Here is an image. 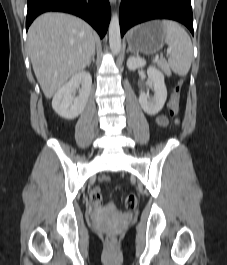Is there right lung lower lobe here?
<instances>
[{
    "mask_svg": "<svg viewBox=\"0 0 227 265\" xmlns=\"http://www.w3.org/2000/svg\"><path fill=\"white\" fill-rule=\"evenodd\" d=\"M26 30L32 21L41 13L60 11L77 15L103 37L110 21V5L108 0H28Z\"/></svg>",
    "mask_w": 227,
    "mask_h": 265,
    "instance_id": "1",
    "label": "right lung lower lobe"
}]
</instances>
